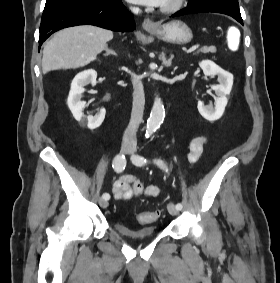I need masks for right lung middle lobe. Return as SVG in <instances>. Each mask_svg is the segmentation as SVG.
<instances>
[{
    "label": "right lung middle lobe",
    "mask_w": 280,
    "mask_h": 283,
    "mask_svg": "<svg viewBox=\"0 0 280 283\" xmlns=\"http://www.w3.org/2000/svg\"><path fill=\"white\" fill-rule=\"evenodd\" d=\"M100 1H104V0H46L45 8H49L57 4L68 3V2H100Z\"/></svg>",
    "instance_id": "1"
}]
</instances>
